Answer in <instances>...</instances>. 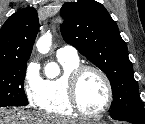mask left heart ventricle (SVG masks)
<instances>
[{"label":"left heart ventricle","instance_id":"left-heart-ventricle-1","mask_svg":"<svg viewBox=\"0 0 145 124\" xmlns=\"http://www.w3.org/2000/svg\"><path fill=\"white\" fill-rule=\"evenodd\" d=\"M79 99L86 112H98L107 101V89L95 72H86L79 84Z\"/></svg>","mask_w":145,"mask_h":124}]
</instances>
